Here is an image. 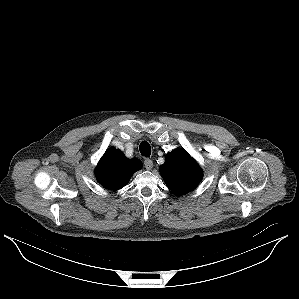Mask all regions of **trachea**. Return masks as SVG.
<instances>
[{"mask_svg":"<svg viewBox=\"0 0 299 299\" xmlns=\"http://www.w3.org/2000/svg\"><path fill=\"white\" fill-rule=\"evenodd\" d=\"M140 153L145 156L149 157L151 155V147L147 141H142L139 146Z\"/></svg>","mask_w":299,"mask_h":299,"instance_id":"1","label":"trachea"}]
</instances>
